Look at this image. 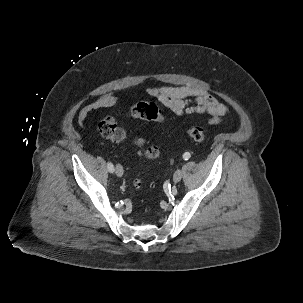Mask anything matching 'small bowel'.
Returning <instances> with one entry per match:
<instances>
[{"label": "small bowel", "instance_id": "obj_1", "mask_svg": "<svg viewBox=\"0 0 303 303\" xmlns=\"http://www.w3.org/2000/svg\"><path fill=\"white\" fill-rule=\"evenodd\" d=\"M150 95L177 115L201 114L207 116L209 124H220L227 116V107L204 89L191 86H161L149 89ZM118 97L112 93L104 94L84 105L78 114V122L84 125L93 110L112 107Z\"/></svg>", "mask_w": 303, "mask_h": 303}]
</instances>
